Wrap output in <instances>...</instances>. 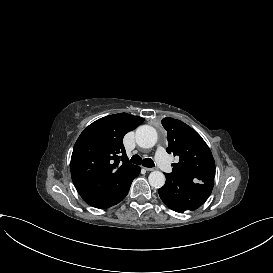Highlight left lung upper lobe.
Instances as JSON below:
<instances>
[{
	"mask_svg": "<svg viewBox=\"0 0 273 273\" xmlns=\"http://www.w3.org/2000/svg\"><path fill=\"white\" fill-rule=\"evenodd\" d=\"M162 125L169 142L166 151L180 158L173 164L171 174L198 183L214 182L215 161L201 136L187 124L170 117L164 118Z\"/></svg>",
	"mask_w": 273,
	"mask_h": 273,
	"instance_id": "obj_1",
	"label": "left lung upper lobe"
}]
</instances>
